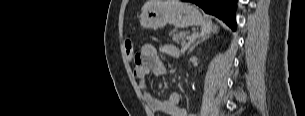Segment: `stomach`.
<instances>
[{"label": "stomach", "mask_w": 305, "mask_h": 116, "mask_svg": "<svg viewBox=\"0 0 305 116\" xmlns=\"http://www.w3.org/2000/svg\"><path fill=\"white\" fill-rule=\"evenodd\" d=\"M203 18L198 9L186 2L171 1L156 3L146 9L141 17V27L145 29H158L167 24L179 28L198 26Z\"/></svg>", "instance_id": "obj_1"}]
</instances>
